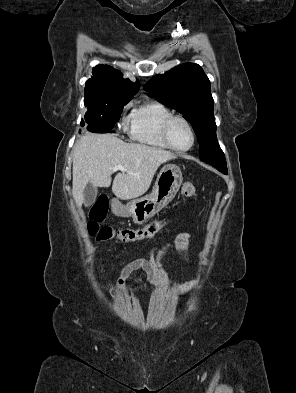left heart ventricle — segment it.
<instances>
[{"mask_svg": "<svg viewBox=\"0 0 296 393\" xmlns=\"http://www.w3.org/2000/svg\"><path fill=\"white\" fill-rule=\"evenodd\" d=\"M169 135L172 143L179 148H187L191 144L192 136L190 130L181 120H176L172 123Z\"/></svg>", "mask_w": 296, "mask_h": 393, "instance_id": "1", "label": "left heart ventricle"}]
</instances>
